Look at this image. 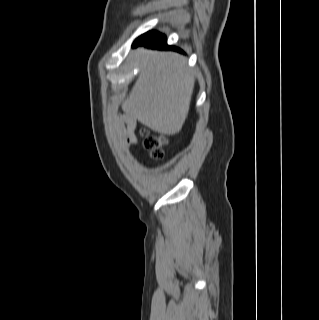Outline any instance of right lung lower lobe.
I'll return each mask as SVG.
<instances>
[{"instance_id":"98d812e1","label":"right lung lower lobe","mask_w":319,"mask_h":320,"mask_svg":"<svg viewBox=\"0 0 319 320\" xmlns=\"http://www.w3.org/2000/svg\"><path fill=\"white\" fill-rule=\"evenodd\" d=\"M146 45L149 48H156V49H176L175 47L168 46L166 37L163 34H160L155 31L147 32L140 37H138L134 43L133 46L138 45Z\"/></svg>"}]
</instances>
